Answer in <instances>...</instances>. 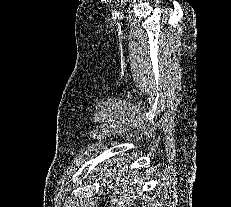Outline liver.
<instances>
[{
    "label": "liver",
    "instance_id": "1",
    "mask_svg": "<svg viewBox=\"0 0 231 207\" xmlns=\"http://www.w3.org/2000/svg\"><path fill=\"white\" fill-rule=\"evenodd\" d=\"M122 164L123 160L121 158L113 157L106 161L104 167L96 168L97 176H102L108 180L110 190L108 193L112 194L109 207H130L142 195L140 191L144 189L145 182L142 178V172L134 170L125 174V168L121 166ZM108 203L109 201L106 202V205Z\"/></svg>",
    "mask_w": 231,
    "mask_h": 207
}]
</instances>
